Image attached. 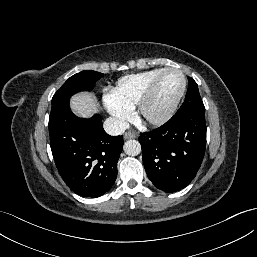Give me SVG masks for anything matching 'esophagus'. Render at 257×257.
Instances as JSON below:
<instances>
[{"instance_id":"obj_1","label":"esophagus","mask_w":257,"mask_h":257,"mask_svg":"<svg viewBox=\"0 0 257 257\" xmlns=\"http://www.w3.org/2000/svg\"><path fill=\"white\" fill-rule=\"evenodd\" d=\"M136 138V134L133 133V132H126L124 134V139L127 140V139H134Z\"/></svg>"}]
</instances>
